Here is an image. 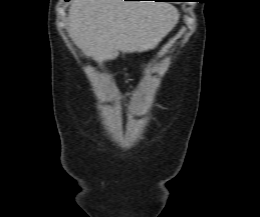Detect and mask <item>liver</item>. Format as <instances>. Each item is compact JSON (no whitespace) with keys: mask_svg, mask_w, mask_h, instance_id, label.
<instances>
[{"mask_svg":"<svg viewBox=\"0 0 260 217\" xmlns=\"http://www.w3.org/2000/svg\"><path fill=\"white\" fill-rule=\"evenodd\" d=\"M178 19V10L165 2L73 0L67 31L85 55L102 63L119 51L154 49Z\"/></svg>","mask_w":260,"mask_h":217,"instance_id":"liver-1","label":"liver"}]
</instances>
